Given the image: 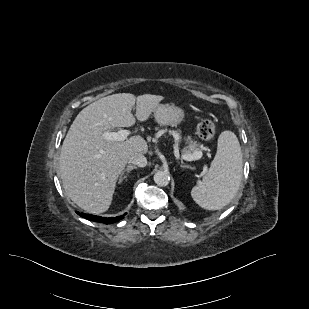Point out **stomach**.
Returning a JSON list of instances; mask_svg holds the SVG:
<instances>
[{
  "label": "stomach",
  "mask_w": 309,
  "mask_h": 309,
  "mask_svg": "<svg viewBox=\"0 0 309 309\" xmlns=\"http://www.w3.org/2000/svg\"><path fill=\"white\" fill-rule=\"evenodd\" d=\"M154 117L158 124L177 127L185 118L184 110L175 105H159L154 110Z\"/></svg>",
  "instance_id": "obj_1"
}]
</instances>
